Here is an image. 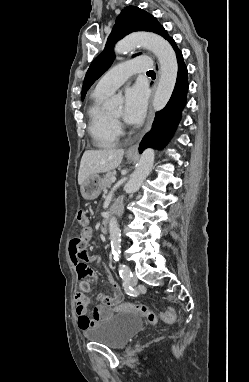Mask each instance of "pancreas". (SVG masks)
I'll return each mask as SVG.
<instances>
[{
    "instance_id": "1",
    "label": "pancreas",
    "mask_w": 249,
    "mask_h": 382,
    "mask_svg": "<svg viewBox=\"0 0 249 382\" xmlns=\"http://www.w3.org/2000/svg\"><path fill=\"white\" fill-rule=\"evenodd\" d=\"M115 177V173L114 172H108L104 178L102 179L101 181V188L103 190L107 189V188H110L111 187V179Z\"/></svg>"
}]
</instances>
